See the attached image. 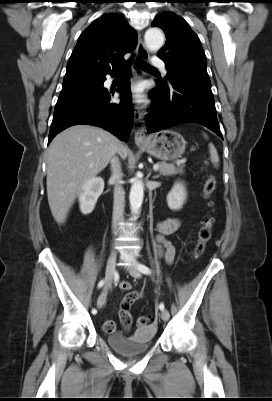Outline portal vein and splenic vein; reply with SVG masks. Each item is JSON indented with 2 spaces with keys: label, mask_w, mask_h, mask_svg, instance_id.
Segmentation results:
<instances>
[{
  "label": "portal vein and splenic vein",
  "mask_w": 272,
  "mask_h": 401,
  "mask_svg": "<svg viewBox=\"0 0 272 401\" xmlns=\"http://www.w3.org/2000/svg\"><path fill=\"white\" fill-rule=\"evenodd\" d=\"M184 161H185V160H178L177 163H183ZM159 167H160L159 164H155V165L153 166V170H154V171H157V170L159 169Z\"/></svg>",
  "instance_id": "18ae733b"
}]
</instances>
